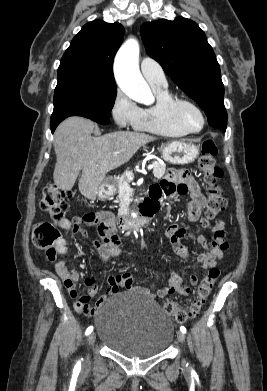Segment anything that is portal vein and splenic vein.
Instances as JSON below:
<instances>
[{"label":"portal vein and splenic vein","mask_w":267,"mask_h":391,"mask_svg":"<svg viewBox=\"0 0 267 391\" xmlns=\"http://www.w3.org/2000/svg\"><path fill=\"white\" fill-rule=\"evenodd\" d=\"M153 168H154V165H153V164L148 166V170H151V169H153ZM126 176H127V178H128L129 180H133V178H134V175H133V173H131V172L127 173Z\"/></svg>","instance_id":"obj_1"}]
</instances>
